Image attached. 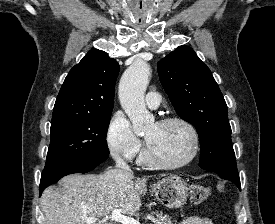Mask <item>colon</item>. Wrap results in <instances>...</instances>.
Wrapping results in <instances>:
<instances>
[{
    "instance_id": "obj_1",
    "label": "colon",
    "mask_w": 275,
    "mask_h": 224,
    "mask_svg": "<svg viewBox=\"0 0 275 224\" xmlns=\"http://www.w3.org/2000/svg\"><path fill=\"white\" fill-rule=\"evenodd\" d=\"M189 189L191 201L195 204L202 203L210 197V189L204 184L194 182Z\"/></svg>"
}]
</instances>
